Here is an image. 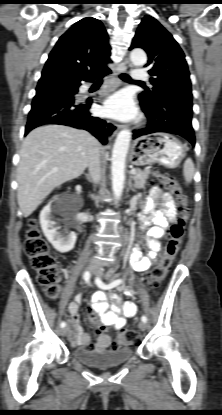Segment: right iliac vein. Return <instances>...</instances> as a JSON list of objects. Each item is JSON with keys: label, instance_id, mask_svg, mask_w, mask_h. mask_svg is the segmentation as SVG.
<instances>
[{"label": "right iliac vein", "instance_id": "right-iliac-vein-1", "mask_svg": "<svg viewBox=\"0 0 222 415\" xmlns=\"http://www.w3.org/2000/svg\"><path fill=\"white\" fill-rule=\"evenodd\" d=\"M87 270H88L89 272H91V273H94L95 268H94V266H89V267L87 268ZM60 334H61L62 336H66V335L68 334V327L62 328V329L60 330Z\"/></svg>", "mask_w": 222, "mask_h": 415}]
</instances>
